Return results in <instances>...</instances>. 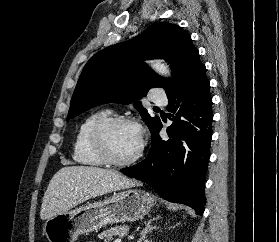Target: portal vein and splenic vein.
<instances>
[{"mask_svg":"<svg viewBox=\"0 0 279 242\" xmlns=\"http://www.w3.org/2000/svg\"><path fill=\"white\" fill-rule=\"evenodd\" d=\"M115 242H121V240H120V239H117V240H115Z\"/></svg>","mask_w":279,"mask_h":242,"instance_id":"1","label":"portal vein and splenic vein"}]
</instances>
